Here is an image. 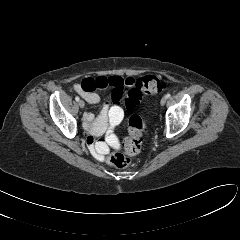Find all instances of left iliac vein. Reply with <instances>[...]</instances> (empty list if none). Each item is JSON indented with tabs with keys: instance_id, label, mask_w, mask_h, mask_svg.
Instances as JSON below:
<instances>
[{
	"instance_id": "4c4485c4",
	"label": "left iliac vein",
	"mask_w": 240,
	"mask_h": 240,
	"mask_svg": "<svg viewBox=\"0 0 240 240\" xmlns=\"http://www.w3.org/2000/svg\"><path fill=\"white\" fill-rule=\"evenodd\" d=\"M167 101V98L164 96L162 97L161 101H160V104L163 106Z\"/></svg>"
}]
</instances>
